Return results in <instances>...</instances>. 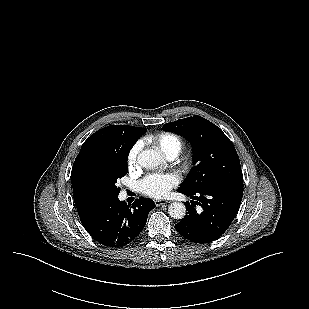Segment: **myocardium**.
Listing matches in <instances>:
<instances>
[{"label": "myocardium", "instance_id": "1", "mask_svg": "<svg viewBox=\"0 0 309 309\" xmlns=\"http://www.w3.org/2000/svg\"><path fill=\"white\" fill-rule=\"evenodd\" d=\"M192 163V154L187 153L184 157V166H189Z\"/></svg>", "mask_w": 309, "mask_h": 309}]
</instances>
